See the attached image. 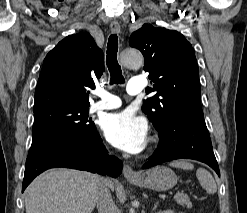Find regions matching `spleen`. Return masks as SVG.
Here are the masks:
<instances>
[{
    "label": "spleen",
    "instance_id": "spleen-1",
    "mask_svg": "<svg viewBox=\"0 0 247 213\" xmlns=\"http://www.w3.org/2000/svg\"><path fill=\"white\" fill-rule=\"evenodd\" d=\"M170 166L180 168L183 170H192L194 165L186 161H175L170 163ZM197 179L199 180L201 186L209 194H214L217 191V186L212 175L204 168H198L196 171Z\"/></svg>",
    "mask_w": 247,
    "mask_h": 213
}]
</instances>
